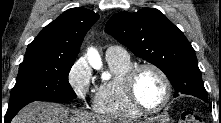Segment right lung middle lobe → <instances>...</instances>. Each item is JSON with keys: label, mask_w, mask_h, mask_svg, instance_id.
<instances>
[{"label": "right lung middle lobe", "mask_w": 221, "mask_h": 123, "mask_svg": "<svg viewBox=\"0 0 221 123\" xmlns=\"http://www.w3.org/2000/svg\"><path fill=\"white\" fill-rule=\"evenodd\" d=\"M74 57L25 56L11 91L7 115H15L33 101H62L76 98L68 82Z\"/></svg>", "instance_id": "dd1d6c3e"}]
</instances>
